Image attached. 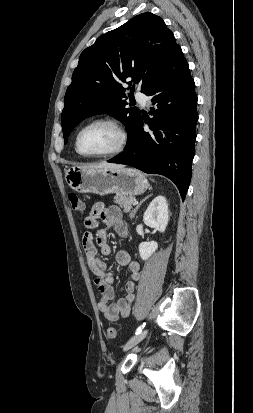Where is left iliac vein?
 Returning <instances> with one entry per match:
<instances>
[{"label":"left iliac vein","instance_id":"obj_1","mask_svg":"<svg viewBox=\"0 0 253 413\" xmlns=\"http://www.w3.org/2000/svg\"><path fill=\"white\" fill-rule=\"evenodd\" d=\"M148 334V330H144L142 332H140L139 334H136L135 336H133L124 346V351H127L129 349H131L132 347H134L135 345H137L139 342H141L146 335Z\"/></svg>","mask_w":253,"mask_h":413}]
</instances>
